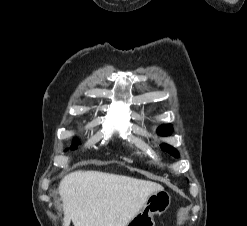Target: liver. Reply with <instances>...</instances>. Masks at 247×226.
<instances>
[{
	"mask_svg": "<svg viewBox=\"0 0 247 226\" xmlns=\"http://www.w3.org/2000/svg\"><path fill=\"white\" fill-rule=\"evenodd\" d=\"M162 186L100 171H75L59 184L63 226H126Z\"/></svg>",
	"mask_w": 247,
	"mask_h": 226,
	"instance_id": "6515ba94",
	"label": "liver"
}]
</instances>
